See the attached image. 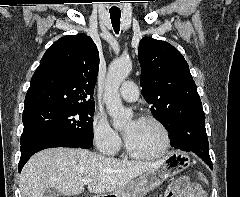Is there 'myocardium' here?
Wrapping results in <instances>:
<instances>
[{
    "label": "myocardium",
    "instance_id": "1",
    "mask_svg": "<svg viewBox=\"0 0 240 197\" xmlns=\"http://www.w3.org/2000/svg\"><path fill=\"white\" fill-rule=\"evenodd\" d=\"M139 120L152 122L159 127L163 135V145L161 149L155 153L140 154L132 150L131 147L128 145L127 140H125V144H124L125 153L131 158L138 159V160H154L164 156L168 152L171 145L170 132L167 126L165 125V123L159 118L150 114L142 115L139 118Z\"/></svg>",
    "mask_w": 240,
    "mask_h": 197
}]
</instances>
